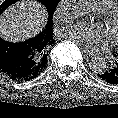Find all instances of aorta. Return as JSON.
Wrapping results in <instances>:
<instances>
[{"instance_id": "aorta-1", "label": "aorta", "mask_w": 118, "mask_h": 118, "mask_svg": "<svg viewBox=\"0 0 118 118\" xmlns=\"http://www.w3.org/2000/svg\"><path fill=\"white\" fill-rule=\"evenodd\" d=\"M69 12L72 17L88 21L91 17L88 2L86 0H72ZM90 69L95 73H103L107 69V63L102 57H95L89 63Z\"/></svg>"}]
</instances>
